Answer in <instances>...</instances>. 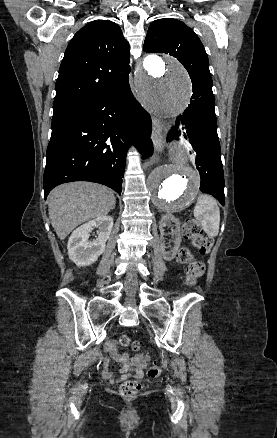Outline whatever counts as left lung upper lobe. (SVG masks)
I'll list each match as a JSON object with an SVG mask.
<instances>
[{"label": "left lung upper lobe", "instance_id": "left-lung-upper-lobe-1", "mask_svg": "<svg viewBox=\"0 0 277 438\" xmlns=\"http://www.w3.org/2000/svg\"><path fill=\"white\" fill-rule=\"evenodd\" d=\"M143 48L148 53L172 55L184 65L193 84L191 100L206 102L214 99L206 51L196 33L186 24L172 18L153 21Z\"/></svg>", "mask_w": 277, "mask_h": 438}]
</instances>
